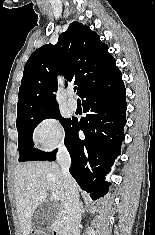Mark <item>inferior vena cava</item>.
I'll use <instances>...</instances> for the list:
<instances>
[{
	"instance_id": "1",
	"label": "inferior vena cava",
	"mask_w": 155,
	"mask_h": 235,
	"mask_svg": "<svg viewBox=\"0 0 155 235\" xmlns=\"http://www.w3.org/2000/svg\"><path fill=\"white\" fill-rule=\"evenodd\" d=\"M57 162L59 163L63 176L65 188V235H80L79 224L81 221V210L79 204V195L76 182L69 173L71 158L64 146H61L57 153Z\"/></svg>"
}]
</instances>
